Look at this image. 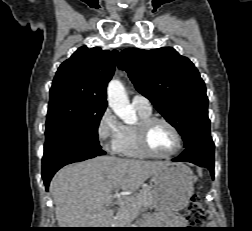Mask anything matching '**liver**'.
<instances>
[{"label": "liver", "mask_w": 252, "mask_h": 231, "mask_svg": "<svg viewBox=\"0 0 252 231\" xmlns=\"http://www.w3.org/2000/svg\"><path fill=\"white\" fill-rule=\"evenodd\" d=\"M169 162L100 156L68 165L50 183L60 228H109L114 212L105 207L113 193L135 192Z\"/></svg>", "instance_id": "liver-1"}]
</instances>
